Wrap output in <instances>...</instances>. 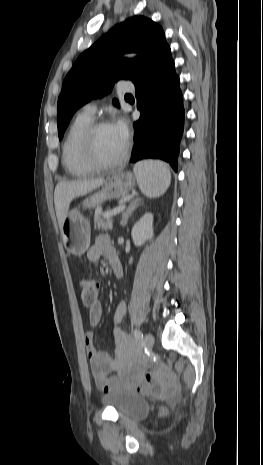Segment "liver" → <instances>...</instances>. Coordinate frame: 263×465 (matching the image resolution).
Listing matches in <instances>:
<instances>
[{
	"label": "liver",
	"mask_w": 263,
	"mask_h": 465,
	"mask_svg": "<svg viewBox=\"0 0 263 465\" xmlns=\"http://www.w3.org/2000/svg\"><path fill=\"white\" fill-rule=\"evenodd\" d=\"M104 179H86L77 181H63L56 185L54 204L58 224L61 230L63 219L68 213L70 203L75 197L83 196L103 185Z\"/></svg>",
	"instance_id": "1"
}]
</instances>
